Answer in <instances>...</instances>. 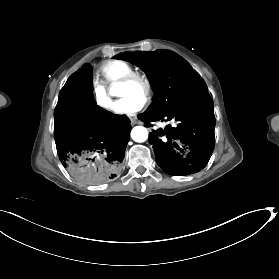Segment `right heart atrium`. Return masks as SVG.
<instances>
[{"label": "right heart atrium", "instance_id": "d8ad5b80", "mask_svg": "<svg viewBox=\"0 0 279 279\" xmlns=\"http://www.w3.org/2000/svg\"><path fill=\"white\" fill-rule=\"evenodd\" d=\"M94 101L99 109L104 112H110L113 109V101L106 87L100 81H94L93 84Z\"/></svg>", "mask_w": 279, "mask_h": 279}]
</instances>
